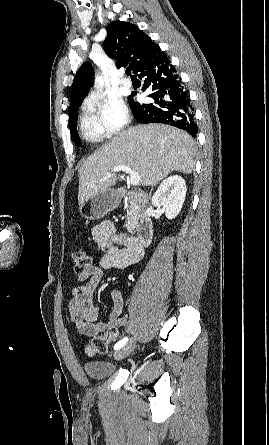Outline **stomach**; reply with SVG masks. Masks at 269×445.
Instances as JSON below:
<instances>
[{
  "label": "stomach",
  "mask_w": 269,
  "mask_h": 445,
  "mask_svg": "<svg viewBox=\"0 0 269 445\" xmlns=\"http://www.w3.org/2000/svg\"><path fill=\"white\" fill-rule=\"evenodd\" d=\"M120 201L119 191L108 188L95 194L87 202L80 205L79 212L86 219L98 220L116 209Z\"/></svg>",
  "instance_id": "obj_1"
}]
</instances>
